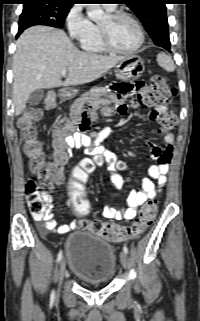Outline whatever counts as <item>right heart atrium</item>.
Segmentation results:
<instances>
[{"label": "right heart atrium", "mask_w": 200, "mask_h": 321, "mask_svg": "<svg viewBox=\"0 0 200 321\" xmlns=\"http://www.w3.org/2000/svg\"><path fill=\"white\" fill-rule=\"evenodd\" d=\"M66 28L71 38L80 39L92 28V22L84 14L80 5H73L65 18Z\"/></svg>", "instance_id": "d8ad5b80"}]
</instances>
